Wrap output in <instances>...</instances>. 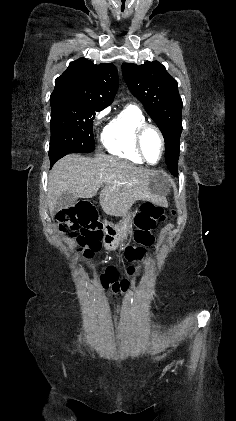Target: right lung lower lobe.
I'll return each mask as SVG.
<instances>
[{"mask_svg": "<svg viewBox=\"0 0 236 421\" xmlns=\"http://www.w3.org/2000/svg\"><path fill=\"white\" fill-rule=\"evenodd\" d=\"M55 162H53V161H51V167L53 166V164H54Z\"/></svg>", "mask_w": 236, "mask_h": 421, "instance_id": "98d812e1", "label": "right lung lower lobe"}]
</instances>
